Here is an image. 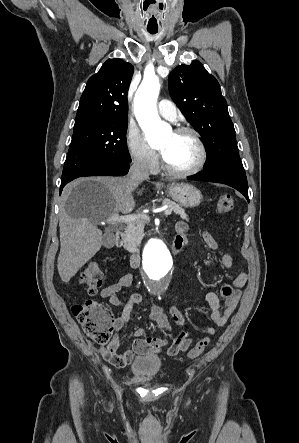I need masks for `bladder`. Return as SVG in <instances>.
<instances>
[{"label": "bladder", "mask_w": 299, "mask_h": 443, "mask_svg": "<svg viewBox=\"0 0 299 443\" xmlns=\"http://www.w3.org/2000/svg\"><path fill=\"white\" fill-rule=\"evenodd\" d=\"M162 362L157 354H149L134 359L130 364L131 374L142 382L151 381L161 370Z\"/></svg>", "instance_id": "31cf9c89"}]
</instances>
